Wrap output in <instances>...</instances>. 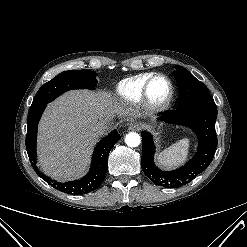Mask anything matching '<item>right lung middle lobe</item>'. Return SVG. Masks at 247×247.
<instances>
[{
	"instance_id": "right-lung-middle-lobe-1",
	"label": "right lung middle lobe",
	"mask_w": 247,
	"mask_h": 247,
	"mask_svg": "<svg viewBox=\"0 0 247 247\" xmlns=\"http://www.w3.org/2000/svg\"><path fill=\"white\" fill-rule=\"evenodd\" d=\"M95 76L89 70H69L58 74L38 90L30 109L45 105L71 89H95Z\"/></svg>"
}]
</instances>
